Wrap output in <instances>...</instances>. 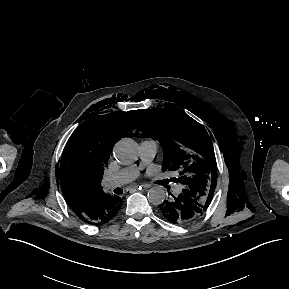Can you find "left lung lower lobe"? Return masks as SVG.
Segmentation results:
<instances>
[{
    "label": "left lung lower lobe",
    "mask_w": 289,
    "mask_h": 289,
    "mask_svg": "<svg viewBox=\"0 0 289 289\" xmlns=\"http://www.w3.org/2000/svg\"><path fill=\"white\" fill-rule=\"evenodd\" d=\"M210 194L202 186L192 190L184 188L182 192L159 205L162 215L172 223L187 224L200 217L209 207Z\"/></svg>",
    "instance_id": "obj_1"
}]
</instances>
